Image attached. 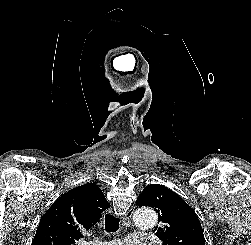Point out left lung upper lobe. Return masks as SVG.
<instances>
[{"label":"left lung upper lobe","instance_id":"left-lung-upper-lobe-1","mask_svg":"<svg viewBox=\"0 0 251 245\" xmlns=\"http://www.w3.org/2000/svg\"><path fill=\"white\" fill-rule=\"evenodd\" d=\"M136 204L156 210V236L163 245H205L201 224L193 209L172 190L159 184L146 186Z\"/></svg>","mask_w":251,"mask_h":245}]
</instances>
